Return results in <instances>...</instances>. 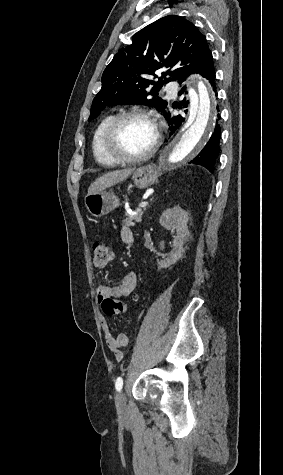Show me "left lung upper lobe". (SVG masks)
<instances>
[{
  "mask_svg": "<svg viewBox=\"0 0 283 475\" xmlns=\"http://www.w3.org/2000/svg\"><path fill=\"white\" fill-rule=\"evenodd\" d=\"M211 55L205 36L185 18L168 15L151 23L137 32L132 44L120 49L104 70L89 120L107 106L118 104H143L164 113L168 103L157 97L163 84L177 81ZM180 61L181 67L171 70ZM156 70H164L157 82L146 79L149 74L157 78ZM167 74L169 78H165ZM150 84L154 87L148 91Z\"/></svg>",
  "mask_w": 283,
  "mask_h": 475,
  "instance_id": "obj_1",
  "label": "left lung upper lobe"
}]
</instances>
